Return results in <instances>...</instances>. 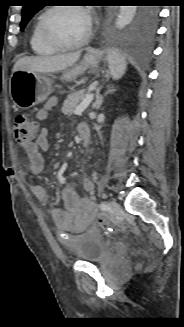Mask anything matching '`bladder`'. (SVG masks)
Wrapping results in <instances>:
<instances>
[{
  "mask_svg": "<svg viewBox=\"0 0 184 327\" xmlns=\"http://www.w3.org/2000/svg\"><path fill=\"white\" fill-rule=\"evenodd\" d=\"M69 250L78 260L94 264H102L111 252L105 237L96 230L76 235Z\"/></svg>",
  "mask_w": 184,
  "mask_h": 327,
  "instance_id": "31cf9c89",
  "label": "bladder"
}]
</instances>
